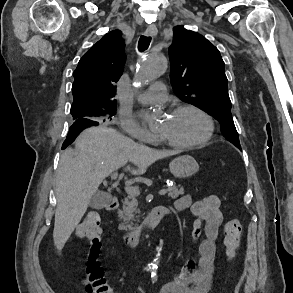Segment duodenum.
I'll use <instances>...</instances> for the list:
<instances>
[{
  "label": "duodenum",
  "instance_id": "410a0bca",
  "mask_svg": "<svg viewBox=\"0 0 293 293\" xmlns=\"http://www.w3.org/2000/svg\"><path fill=\"white\" fill-rule=\"evenodd\" d=\"M120 204V200L117 196H112L109 204L107 205L108 210H116L118 209ZM176 212L173 207L167 206H157L151 210L148 215V218L144 222V224L139 228L133 229H124L122 231V237L125 244L129 248H134L137 246L139 239L146 232L154 229L162 220V218L168 214H172Z\"/></svg>",
  "mask_w": 293,
  "mask_h": 293
}]
</instances>
